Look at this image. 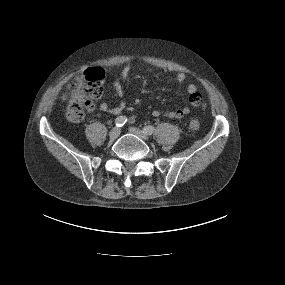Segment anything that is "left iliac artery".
I'll return each instance as SVG.
<instances>
[{"label": "left iliac artery", "mask_w": 285, "mask_h": 285, "mask_svg": "<svg viewBox=\"0 0 285 285\" xmlns=\"http://www.w3.org/2000/svg\"><path fill=\"white\" fill-rule=\"evenodd\" d=\"M154 130H155V128L153 126H150V125L145 126L143 128V132L147 135H151L154 132Z\"/></svg>", "instance_id": "1"}]
</instances>
